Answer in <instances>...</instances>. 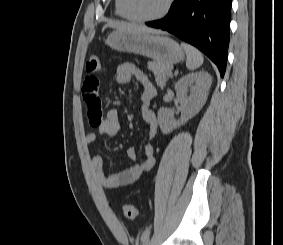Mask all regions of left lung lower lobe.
Instances as JSON below:
<instances>
[{
  "mask_svg": "<svg viewBox=\"0 0 283 245\" xmlns=\"http://www.w3.org/2000/svg\"><path fill=\"white\" fill-rule=\"evenodd\" d=\"M232 0H175L163 19L146 25L166 30L206 54L224 76Z\"/></svg>",
  "mask_w": 283,
  "mask_h": 245,
  "instance_id": "0a47b994",
  "label": "left lung lower lobe"
}]
</instances>
